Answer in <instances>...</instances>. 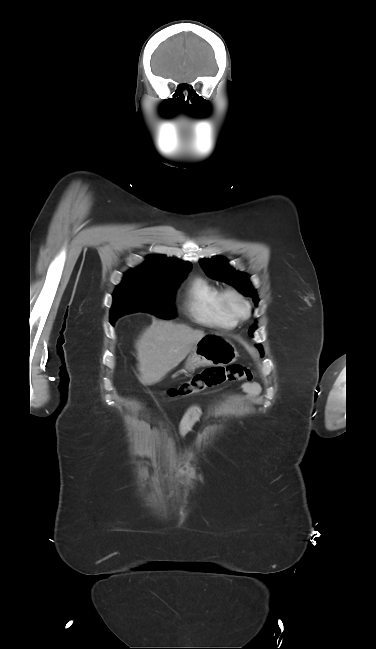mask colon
Instances as JSON below:
<instances>
[{"mask_svg":"<svg viewBox=\"0 0 376 649\" xmlns=\"http://www.w3.org/2000/svg\"><path fill=\"white\" fill-rule=\"evenodd\" d=\"M252 378L253 373L251 369L238 363L224 367H207L198 371L179 385L169 388L165 392V395L173 399L185 398L226 381H251Z\"/></svg>","mask_w":376,"mask_h":649,"instance_id":"obj_1","label":"colon"}]
</instances>
